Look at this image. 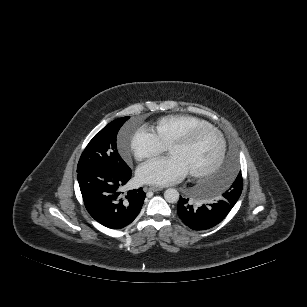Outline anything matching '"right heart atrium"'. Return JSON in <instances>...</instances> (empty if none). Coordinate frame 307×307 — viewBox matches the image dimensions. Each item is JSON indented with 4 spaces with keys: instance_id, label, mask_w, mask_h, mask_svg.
Masks as SVG:
<instances>
[{
    "instance_id": "d8ad5b80",
    "label": "right heart atrium",
    "mask_w": 307,
    "mask_h": 307,
    "mask_svg": "<svg viewBox=\"0 0 307 307\" xmlns=\"http://www.w3.org/2000/svg\"><path fill=\"white\" fill-rule=\"evenodd\" d=\"M128 147L137 160L155 157L166 150V146L149 128L136 129L128 137Z\"/></svg>"
}]
</instances>
